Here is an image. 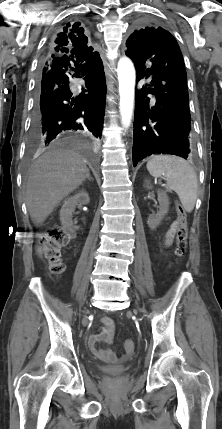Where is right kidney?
Listing matches in <instances>:
<instances>
[{"label": "right kidney", "instance_id": "ca27d5eb", "mask_svg": "<svg viewBox=\"0 0 222 429\" xmlns=\"http://www.w3.org/2000/svg\"><path fill=\"white\" fill-rule=\"evenodd\" d=\"M90 202V198L87 192L80 191L74 196L67 198L60 210V221L64 227L72 226V213L75 210V207L78 203L87 205Z\"/></svg>", "mask_w": 222, "mask_h": 429}]
</instances>
